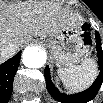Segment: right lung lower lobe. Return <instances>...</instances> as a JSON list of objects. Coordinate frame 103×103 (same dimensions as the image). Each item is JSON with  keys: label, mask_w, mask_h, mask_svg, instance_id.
<instances>
[{"label": "right lung lower lobe", "mask_w": 103, "mask_h": 103, "mask_svg": "<svg viewBox=\"0 0 103 103\" xmlns=\"http://www.w3.org/2000/svg\"><path fill=\"white\" fill-rule=\"evenodd\" d=\"M19 61H20V52L16 54L13 58L4 62L0 67L1 70L0 82L2 85V89L6 90V92L11 91V86L19 66Z\"/></svg>", "instance_id": "right-lung-lower-lobe-1"}]
</instances>
